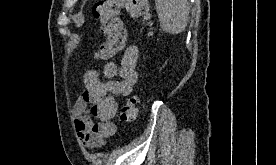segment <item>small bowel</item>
I'll list each match as a JSON object with an SVG mask.
<instances>
[{"mask_svg": "<svg viewBox=\"0 0 276 165\" xmlns=\"http://www.w3.org/2000/svg\"><path fill=\"white\" fill-rule=\"evenodd\" d=\"M138 47L128 46L120 64L106 62L100 80V72L90 70L84 75V91L73 107L74 123L77 135L89 149L100 147L116 131L113 122L117 110L116 96L128 97L137 82ZM118 77L119 79H115ZM97 119L96 122L91 117Z\"/></svg>", "mask_w": 276, "mask_h": 165, "instance_id": "obj_1", "label": "small bowel"}]
</instances>
